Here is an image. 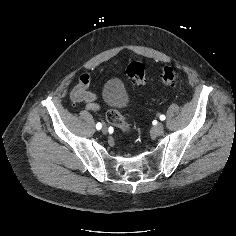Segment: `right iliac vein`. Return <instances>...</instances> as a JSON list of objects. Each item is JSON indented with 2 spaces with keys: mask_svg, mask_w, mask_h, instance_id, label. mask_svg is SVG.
I'll return each instance as SVG.
<instances>
[{
  "mask_svg": "<svg viewBox=\"0 0 236 236\" xmlns=\"http://www.w3.org/2000/svg\"><path fill=\"white\" fill-rule=\"evenodd\" d=\"M107 132H108L107 126L103 125V127H102V133H103V134H106Z\"/></svg>",
  "mask_w": 236,
  "mask_h": 236,
  "instance_id": "obj_1",
  "label": "right iliac vein"
}]
</instances>
